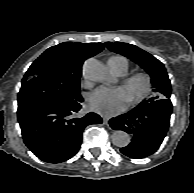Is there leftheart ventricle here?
<instances>
[{"label":"left heart ventricle","mask_w":194,"mask_h":193,"mask_svg":"<svg viewBox=\"0 0 194 193\" xmlns=\"http://www.w3.org/2000/svg\"><path fill=\"white\" fill-rule=\"evenodd\" d=\"M140 89H141V83L140 82H135L132 85L124 88V90L126 92L127 100H129L134 95H136L140 91Z\"/></svg>","instance_id":"left-heart-ventricle-1"}]
</instances>
